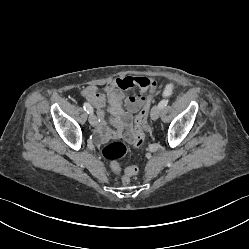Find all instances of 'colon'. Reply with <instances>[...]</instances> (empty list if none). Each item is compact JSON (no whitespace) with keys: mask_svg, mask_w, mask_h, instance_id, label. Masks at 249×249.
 <instances>
[{"mask_svg":"<svg viewBox=\"0 0 249 249\" xmlns=\"http://www.w3.org/2000/svg\"><path fill=\"white\" fill-rule=\"evenodd\" d=\"M148 106H144L138 112L136 116V130L133 139V145L135 147H140L143 145L145 140V119L148 112ZM127 153V147L122 142H111L103 147L102 155L104 158L108 160H116L122 158ZM112 168L122 173V182L127 184L131 176L136 175L138 172V168L136 166H130L125 169H121V167L113 162Z\"/></svg>","mask_w":249,"mask_h":249,"instance_id":"obj_1","label":"colon"}]
</instances>
